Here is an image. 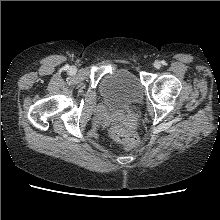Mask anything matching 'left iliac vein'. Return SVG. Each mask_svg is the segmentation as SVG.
I'll list each match as a JSON object with an SVG mask.
<instances>
[{"label":"left iliac vein","instance_id":"4c4485c4","mask_svg":"<svg viewBox=\"0 0 220 220\" xmlns=\"http://www.w3.org/2000/svg\"><path fill=\"white\" fill-rule=\"evenodd\" d=\"M154 67L155 68H160L161 67V63L159 61H155Z\"/></svg>","mask_w":220,"mask_h":220}]
</instances>
